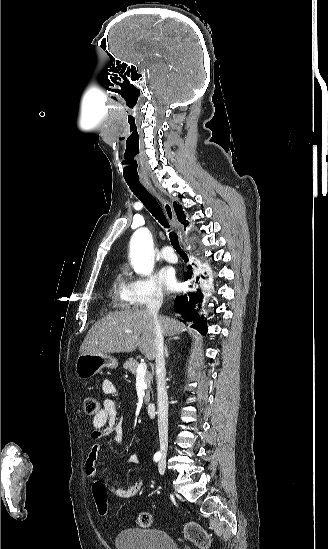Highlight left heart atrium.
Returning a JSON list of instances; mask_svg holds the SVG:
<instances>
[{"label":"left heart atrium","instance_id":"39dd6f15","mask_svg":"<svg viewBox=\"0 0 328 549\" xmlns=\"http://www.w3.org/2000/svg\"><path fill=\"white\" fill-rule=\"evenodd\" d=\"M160 284L164 291H173L176 286V280L174 275L168 270L162 271L160 275Z\"/></svg>","mask_w":328,"mask_h":549}]
</instances>
